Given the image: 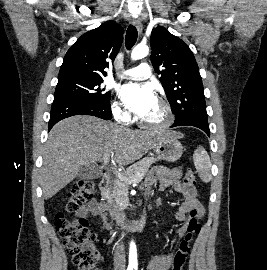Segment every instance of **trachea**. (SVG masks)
Listing matches in <instances>:
<instances>
[{
  "instance_id": "3493384b",
  "label": "trachea",
  "mask_w": 267,
  "mask_h": 270,
  "mask_svg": "<svg viewBox=\"0 0 267 270\" xmlns=\"http://www.w3.org/2000/svg\"><path fill=\"white\" fill-rule=\"evenodd\" d=\"M137 29L135 26L130 25L126 32V48L131 49L137 41Z\"/></svg>"
}]
</instances>
